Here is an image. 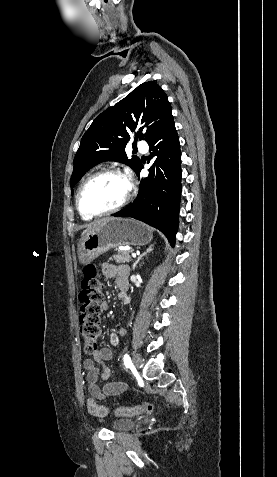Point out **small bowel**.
<instances>
[{
    "instance_id": "c3829d8e",
    "label": "small bowel",
    "mask_w": 277,
    "mask_h": 477,
    "mask_svg": "<svg viewBox=\"0 0 277 477\" xmlns=\"http://www.w3.org/2000/svg\"><path fill=\"white\" fill-rule=\"evenodd\" d=\"M102 273L106 278H114L115 285L119 290L118 298L124 300L127 298L129 267L126 265H115L112 263H104L102 265ZM103 309L107 308V304H102ZM126 333L124 328H114L110 333L109 340L112 345H117L119 337ZM92 357L87 358L83 362L84 369L87 371V386L92 397L104 399L113 397L123 393L127 385L121 381L108 382L103 386L99 385V379L108 380L111 377V370L104 367L100 372L96 363L110 361L113 358V352L108 347L96 349L91 353Z\"/></svg>"
}]
</instances>
